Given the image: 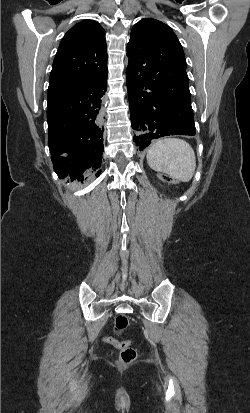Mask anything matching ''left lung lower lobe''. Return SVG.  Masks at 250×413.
Here are the masks:
<instances>
[{
  "mask_svg": "<svg viewBox=\"0 0 250 413\" xmlns=\"http://www.w3.org/2000/svg\"><path fill=\"white\" fill-rule=\"evenodd\" d=\"M154 40L127 50V88L134 142L142 151L167 135H195L188 77L154 67Z\"/></svg>",
  "mask_w": 250,
  "mask_h": 413,
  "instance_id": "0a47b994",
  "label": "left lung lower lobe"
}]
</instances>
